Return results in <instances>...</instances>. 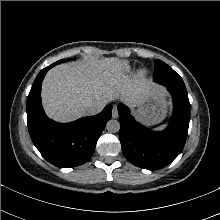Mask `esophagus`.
<instances>
[{
  "mask_svg": "<svg viewBox=\"0 0 220 220\" xmlns=\"http://www.w3.org/2000/svg\"><path fill=\"white\" fill-rule=\"evenodd\" d=\"M112 117L117 118L118 117V109L116 106L113 107L112 109Z\"/></svg>",
  "mask_w": 220,
  "mask_h": 220,
  "instance_id": "esophagus-1",
  "label": "esophagus"
}]
</instances>
